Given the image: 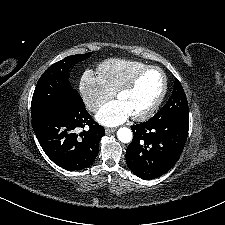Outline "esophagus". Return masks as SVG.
I'll return each instance as SVG.
<instances>
[{
  "instance_id": "1",
  "label": "esophagus",
  "mask_w": 225,
  "mask_h": 225,
  "mask_svg": "<svg viewBox=\"0 0 225 225\" xmlns=\"http://www.w3.org/2000/svg\"><path fill=\"white\" fill-rule=\"evenodd\" d=\"M116 130H117V128H106L105 132H106V134H109V133L115 132Z\"/></svg>"
}]
</instances>
